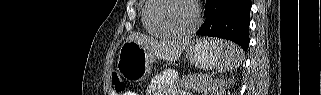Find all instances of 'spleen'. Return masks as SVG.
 <instances>
[{
	"label": "spleen",
	"instance_id": "spleen-1",
	"mask_svg": "<svg viewBox=\"0 0 321 95\" xmlns=\"http://www.w3.org/2000/svg\"><path fill=\"white\" fill-rule=\"evenodd\" d=\"M223 52L215 64L216 71L222 73L232 71L240 65L242 61V51L233 42H223Z\"/></svg>",
	"mask_w": 321,
	"mask_h": 95
}]
</instances>
